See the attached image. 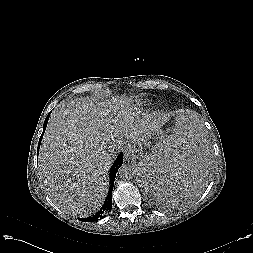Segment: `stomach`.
<instances>
[{"instance_id":"1","label":"stomach","mask_w":253,"mask_h":253,"mask_svg":"<svg viewBox=\"0 0 253 253\" xmlns=\"http://www.w3.org/2000/svg\"><path fill=\"white\" fill-rule=\"evenodd\" d=\"M164 138H165V135L163 134V132L161 130H158L156 132L151 133L142 144H139V148L142 149L143 146H149L152 142L154 143V145H152L151 151L147 152L145 155L140 154L137 156L139 159L138 181H139V174H140L141 168L146 162H148L149 160L153 158V156L155 155L156 151L159 148L160 143L162 142Z\"/></svg>"}]
</instances>
